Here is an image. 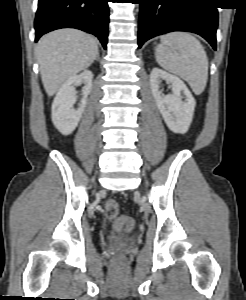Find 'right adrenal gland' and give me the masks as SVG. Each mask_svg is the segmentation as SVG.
<instances>
[{
    "label": "right adrenal gland",
    "mask_w": 246,
    "mask_h": 300,
    "mask_svg": "<svg viewBox=\"0 0 246 300\" xmlns=\"http://www.w3.org/2000/svg\"><path fill=\"white\" fill-rule=\"evenodd\" d=\"M96 59H97V60H99V53L97 54V57H96Z\"/></svg>",
    "instance_id": "2a0ac1e0"
}]
</instances>
